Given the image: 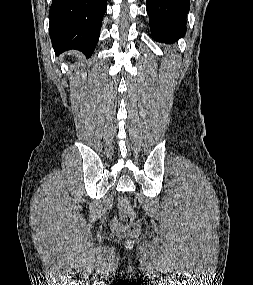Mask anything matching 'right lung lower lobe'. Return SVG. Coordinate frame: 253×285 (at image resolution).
I'll return each mask as SVG.
<instances>
[{"label": "right lung lower lobe", "mask_w": 253, "mask_h": 285, "mask_svg": "<svg viewBox=\"0 0 253 285\" xmlns=\"http://www.w3.org/2000/svg\"><path fill=\"white\" fill-rule=\"evenodd\" d=\"M106 9L107 0H52L49 19L55 54L76 49L91 56Z\"/></svg>", "instance_id": "obj_1"}]
</instances>
